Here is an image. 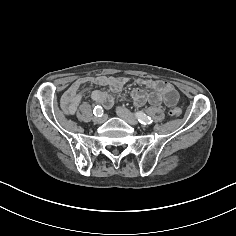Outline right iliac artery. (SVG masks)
Returning <instances> with one entry per match:
<instances>
[{"label": "right iliac artery", "mask_w": 236, "mask_h": 236, "mask_svg": "<svg viewBox=\"0 0 236 236\" xmlns=\"http://www.w3.org/2000/svg\"><path fill=\"white\" fill-rule=\"evenodd\" d=\"M103 108L101 106H96L93 110V113L96 117H101L103 115Z\"/></svg>", "instance_id": "82829eb1"}]
</instances>
